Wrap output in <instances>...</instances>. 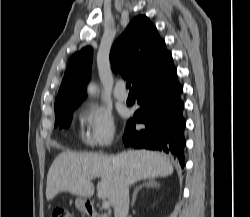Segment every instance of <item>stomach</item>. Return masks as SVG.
<instances>
[{
    "label": "stomach",
    "mask_w": 250,
    "mask_h": 217,
    "mask_svg": "<svg viewBox=\"0 0 250 217\" xmlns=\"http://www.w3.org/2000/svg\"><path fill=\"white\" fill-rule=\"evenodd\" d=\"M87 205H88V200H87V198L78 197V198L75 200V206H76V208H77L80 212H82V213H88Z\"/></svg>",
    "instance_id": "obj_1"
}]
</instances>
